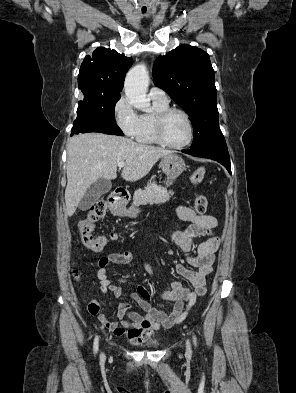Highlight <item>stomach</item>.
<instances>
[{
    "label": "stomach",
    "instance_id": "1",
    "mask_svg": "<svg viewBox=\"0 0 296 393\" xmlns=\"http://www.w3.org/2000/svg\"><path fill=\"white\" fill-rule=\"evenodd\" d=\"M160 167L162 168L163 173L166 175V186H170L173 180L179 177V175H181V173L186 169V164L180 156L169 154L162 157ZM139 212V209L136 207L126 209L123 206L119 209L118 214L120 216H128L133 218L136 217Z\"/></svg>",
    "mask_w": 296,
    "mask_h": 393
}]
</instances>
